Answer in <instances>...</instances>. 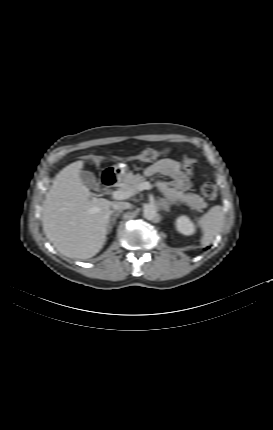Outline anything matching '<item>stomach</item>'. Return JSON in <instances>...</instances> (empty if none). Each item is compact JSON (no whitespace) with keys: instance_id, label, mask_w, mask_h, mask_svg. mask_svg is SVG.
I'll list each match as a JSON object with an SVG mask.
<instances>
[{"instance_id":"obj_1","label":"stomach","mask_w":273,"mask_h":430,"mask_svg":"<svg viewBox=\"0 0 273 430\" xmlns=\"http://www.w3.org/2000/svg\"><path fill=\"white\" fill-rule=\"evenodd\" d=\"M114 170L118 173L120 177L125 176V172L127 171V166L123 164H117L114 166Z\"/></svg>"}]
</instances>
